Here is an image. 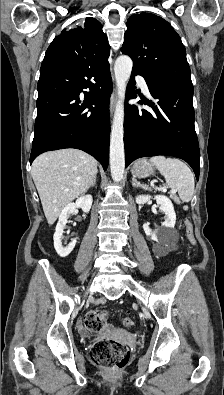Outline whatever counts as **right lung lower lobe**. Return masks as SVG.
I'll return each mask as SVG.
<instances>
[{
	"label": "right lung lower lobe",
	"mask_w": 224,
	"mask_h": 395,
	"mask_svg": "<svg viewBox=\"0 0 224 395\" xmlns=\"http://www.w3.org/2000/svg\"><path fill=\"white\" fill-rule=\"evenodd\" d=\"M86 88L90 92L83 91ZM81 92L83 101L79 98ZM111 92L109 63L80 69L54 60L43 61L30 163L46 151L77 148L96 158L106 170Z\"/></svg>",
	"instance_id": "obj_1"
}]
</instances>
